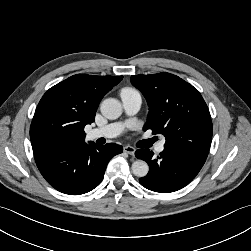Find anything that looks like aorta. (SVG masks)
I'll return each instance as SVG.
<instances>
[{"label": "aorta", "instance_id": "1", "mask_svg": "<svg viewBox=\"0 0 251 251\" xmlns=\"http://www.w3.org/2000/svg\"><path fill=\"white\" fill-rule=\"evenodd\" d=\"M101 113L107 119H117L122 114V105L121 103L115 98H107L102 101L101 106ZM132 172L137 177H145L148 174L149 166L143 160H137L132 164Z\"/></svg>", "mask_w": 251, "mask_h": 251}]
</instances>
